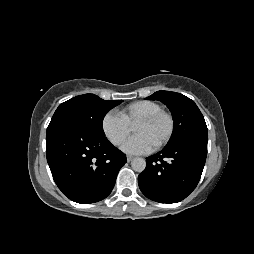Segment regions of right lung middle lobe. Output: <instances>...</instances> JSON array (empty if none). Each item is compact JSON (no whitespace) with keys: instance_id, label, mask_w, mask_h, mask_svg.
<instances>
[{"instance_id":"right-lung-middle-lobe-1","label":"right lung middle lobe","mask_w":254,"mask_h":254,"mask_svg":"<svg viewBox=\"0 0 254 254\" xmlns=\"http://www.w3.org/2000/svg\"><path fill=\"white\" fill-rule=\"evenodd\" d=\"M121 102L122 100H103L94 94L79 95L60 104L50 123L68 122L93 133L105 135L103 119L109 110Z\"/></svg>"}]
</instances>
